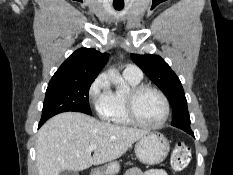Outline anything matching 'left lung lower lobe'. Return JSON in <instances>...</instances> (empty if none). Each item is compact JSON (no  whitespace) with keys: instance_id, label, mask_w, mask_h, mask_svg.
<instances>
[{"instance_id":"left-lung-lower-lobe-1","label":"left lung lower lobe","mask_w":233,"mask_h":175,"mask_svg":"<svg viewBox=\"0 0 233 175\" xmlns=\"http://www.w3.org/2000/svg\"><path fill=\"white\" fill-rule=\"evenodd\" d=\"M187 133L190 134V135H192V136H194V134H193L192 131H188Z\"/></svg>"}]
</instances>
